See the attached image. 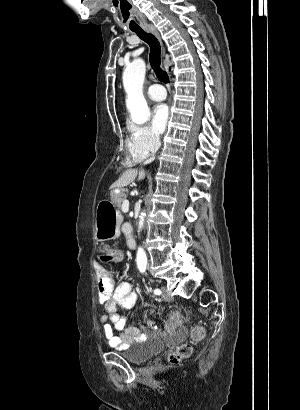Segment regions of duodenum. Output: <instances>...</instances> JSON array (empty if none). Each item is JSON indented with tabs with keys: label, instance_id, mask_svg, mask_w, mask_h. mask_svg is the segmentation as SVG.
<instances>
[{
	"label": "duodenum",
	"instance_id": "duodenum-1",
	"mask_svg": "<svg viewBox=\"0 0 300 410\" xmlns=\"http://www.w3.org/2000/svg\"><path fill=\"white\" fill-rule=\"evenodd\" d=\"M129 246H130L131 248H135V243L132 241V242H130Z\"/></svg>",
	"mask_w": 300,
	"mask_h": 410
}]
</instances>
